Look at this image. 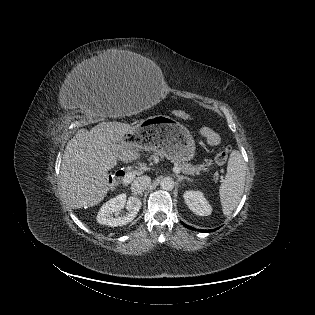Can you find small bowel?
<instances>
[{
	"instance_id": "1",
	"label": "small bowel",
	"mask_w": 315,
	"mask_h": 315,
	"mask_svg": "<svg viewBox=\"0 0 315 315\" xmlns=\"http://www.w3.org/2000/svg\"><path fill=\"white\" fill-rule=\"evenodd\" d=\"M202 136L206 139L207 143L211 146H216L220 142V138L212 129L204 127L201 129Z\"/></svg>"
}]
</instances>
